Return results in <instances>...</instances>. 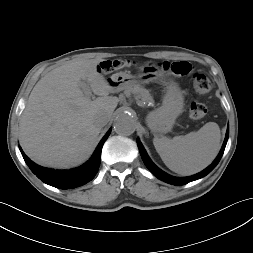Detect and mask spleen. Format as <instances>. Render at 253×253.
<instances>
[{
  "label": "spleen",
  "mask_w": 253,
  "mask_h": 253,
  "mask_svg": "<svg viewBox=\"0 0 253 253\" xmlns=\"http://www.w3.org/2000/svg\"><path fill=\"white\" fill-rule=\"evenodd\" d=\"M220 128L208 122L184 136L155 137L153 144L164 164L181 175H192L207 167L220 149Z\"/></svg>",
  "instance_id": "spleen-1"
}]
</instances>
